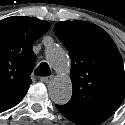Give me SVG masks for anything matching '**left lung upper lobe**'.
I'll use <instances>...</instances> for the list:
<instances>
[{"instance_id":"5c2ea615","label":"left lung upper lobe","mask_w":125,"mask_h":125,"mask_svg":"<svg viewBox=\"0 0 125 125\" xmlns=\"http://www.w3.org/2000/svg\"><path fill=\"white\" fill-rule=\"evenodd\" d=\"M54 32L72 60L73 95L63 107L72 111L117 110L125 97V72L108 33L85 21L59 22Z\"/></svg>"}]
</instances>
